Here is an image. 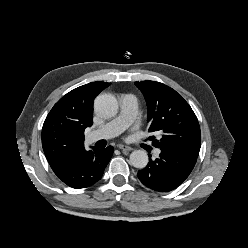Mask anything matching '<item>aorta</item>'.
<instances>
[{"label":"aorta","mask_w":248,"mask_h":248,"mask_svg":"<svg viewBox=\"0 0 248 248\" xmlns=\"http://www.w3.org/2000/svg\"><path fill=\"white\" fill-rule=\"evenodd\" d=\"M95 112L104 118L113 117L118 111V101L111 94H101L94 102ZM130 163L135 168H145L148 164V155L144 150H135L130 154Z\"/></svg>","instance_id":"762f6f07"}]
</instances>
